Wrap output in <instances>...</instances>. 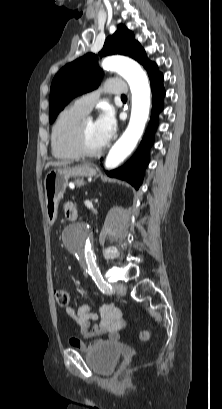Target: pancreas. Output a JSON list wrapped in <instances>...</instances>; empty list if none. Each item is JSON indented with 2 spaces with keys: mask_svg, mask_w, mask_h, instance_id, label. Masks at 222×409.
Segmentation results:
<instances>
[{
  "mask_svg": "<svg viewBox=\"0 0 222 409\" xmlns=\"http://www.w3.org/2000/svg\"><path fill=\"white\" fill-rule=\"evenodd\" d=\"M75 183H76L78 186H81V185L84 184V181H83V179H77V180L75 181Z\"/></svg>",
  "mask_w": 222,
  "mask_h": 409,
  "instance_id": "pancreas-1",
  "label": "pancreas"
}]
</instances>
